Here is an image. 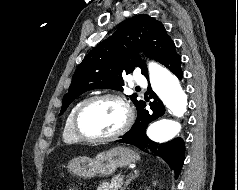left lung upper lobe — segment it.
I'll return each mask as SVG.
<instances>
[{"label":"left lung upper lobe","instance_id":"5c2ea615","mask_svg":"<svg viewBox=\"0 0 238 190\" xmlns=\"http://www.w3.org/2000/svg\"><path fill=\"white\" fill-rule=\"evenodd\" d=\"M137 51L162 64L176 50L161 22L146 14L125 20L112 36L99 43L80 63L69 91L63 97L59 115L86 91L100 88L122 91V74H129L136 67H140L141 73L148 77L146 64L135 54ZM129 97L136 107L142 102L136 99V94Z\"/></svg>","mask_w":238,"mask_h":190}]
</instances>
